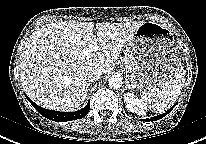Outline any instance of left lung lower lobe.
<instances>
[{"mask_svg":"<svg viewBox=\"0 0 206 144\" xmlns=\"http://www.w3.org/2000/svg\"><path fill=\"white\" fill-rule=\"evenodd\" d=\"M173 108H174V106H173L171 109H169L166 113H163V114H161V115L152 117L151 119H146V121H149V120H150V121H156V120H159V119L163 118L164 116H166L167 113H169Z\"/></svg>","mask_w":206,"mask_h":144,"instance_id":"0a47b994","label":"left lung lower lobe"}]
</instances>
